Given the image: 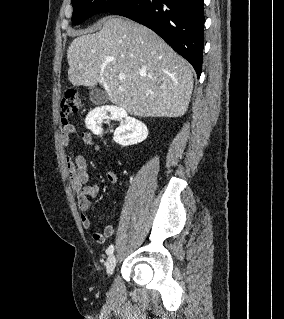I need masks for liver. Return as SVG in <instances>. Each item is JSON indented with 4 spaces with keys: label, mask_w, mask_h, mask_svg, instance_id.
Here are the masks:
<instances>
[{
    "label": "liver",
    "mask_w": 284,
    "mask_h": 319,
    "mask_svg": "<svg viewBox=\"0 0 284 319\" xmlns=\"http://www.w3.org/2000/svg\"><path fill=\"white\" fill-rule=\"evenodd\" d=\"M67 60L72 85L99 84L113 104L132 115L179 117L187 111L191 66L156 33L129 19L107 17L99 32L81 33Z\"/></svg>",
    "instance_id": "obj_1"
}]
</instances>
